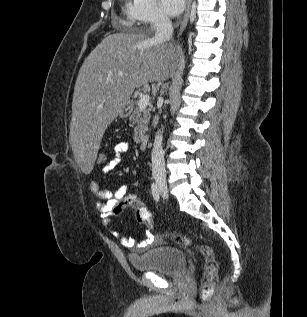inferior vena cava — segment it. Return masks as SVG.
<instances>
[{
    "instance_id": "1",
    "label": "inferior vena cava",
    "mask_w": 307,
    "mask_h": 317,
    "mask_svg": "<svg viewBox=\"0 0 307 317\" xmlns=\"http://www.w3.org/2000/svg\"><path fill=\"white\" fill-rule=\"evenodd\" d=\"M153 27L155 29V36L153 40L155 42L169 41L173 35L172 22L164 14L157 16L153 22ZM152 161V174L154 177L165 175V160L164 151L162 149V135L160 131L157 132L153 144V149L151 153Z\"/></svg>"
}]
</instances>
